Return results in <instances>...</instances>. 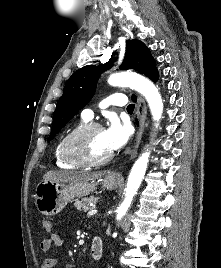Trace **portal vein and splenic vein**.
Instances as JSON below:
<instances>
[{
    "instance_id": "portal-vein-and-splenic-vein-1",
    "label": "portal vein and splenic vein",
    "mask_w": 221,
    "mask_h": 268,
    "mask_svg": "<svg viewBox=\"0 0 221 268\" xmlns=\"http://www.w3.org/2000/svg\"><path fill=\"white\" fill-rule=\"evenodd\" d=\"M97 212H98L97 209L92 208V209H90V211H88L87 215H88V216H92V215L97 214Z\"/></svg>"
}]
</instances>
